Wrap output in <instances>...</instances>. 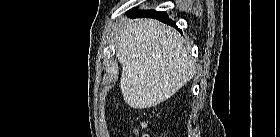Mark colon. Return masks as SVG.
<instances>
[{
	"instance_id": "obj_1",
	"label": "colon",
	"mask_w": 280,
	"mask_h": 137,
	"mask_svg": "<svg viewBox=\"0 0 280 137\" xmlns=\"http://www.w3.org/2000/svg\"><path fill=\"white\" fill-rule=\"evenodd\" d=\"M142 128L143 129H149L150 126H149V124L147 122H144L143 125H142Z\"/></svg>"
}]
</instances>
